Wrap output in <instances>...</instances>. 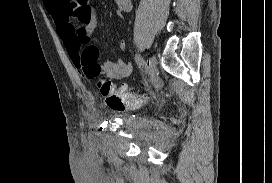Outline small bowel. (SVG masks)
<instances>
[{
	"mask_svg": "<svg viewBox=\"0 0 272 183\" xmlns=\"http://www.w3.org/2000/svg\"><path fill=\"white\" fill-rule=\"evenodd\" d=\"M118 13L129 12L132 8L131 0H115ZM48 13L53 17L57 33L71 56L73 63L79 68L83 48L89 44L97 20L94 7L89 0H43ZM78 25V27H76ZM126 44L120 41L119 48L125 50ZM102 71L113 80H123L130 77L133 67L121 60L105 61ZM122 88H126L125 85Z\"/></svg>",
	"mask_w": 272,
	"mask_h": 183,
	"instance_id": "obj_1",
	"label": "small bowel"
}]
</instances>
